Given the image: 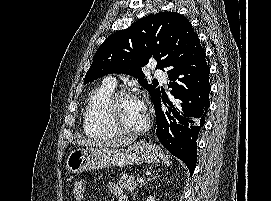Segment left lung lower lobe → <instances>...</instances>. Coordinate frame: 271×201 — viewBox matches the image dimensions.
<instances>
[{"mask_svg":"<svg viewBox=\"0 0 271 201\" xmlns=\"http://www.w3.org/2000/svg\"><path fill=\"white\" fill-rule=\"evenodd\" d=\"M206 53L197 37L179 41L168 66V87L171 95L181 100L176 107L159 92L153 99L157 136L164 147L182 160L192 176L197 160V138L210 106V69ZM170 107L164 111L161 102Z\"/></svg>","mask_w":271,"mask_h":201,"instance_id":"0a47b994","label":"left lung lower lobe"}]
</instances>
